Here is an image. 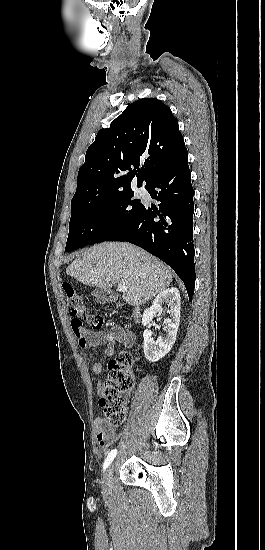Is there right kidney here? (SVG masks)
<instances>
[{
    "instance_id": "obj_1",
    "label": "right kidney",
    "mask_w": 265,
    "mask_h": 550,
    "mask_svg": "<svg viewBox=\"0 0 265 550\" xmlns=\"http://www.w3.org/2000/svg\"><path fill=\"white\" fill-rule=\"evenodd\" d=\"M167 304L169 318L164 319L166 335L159 336L156 342L152 338V332L146 329L143 333L144 355L149 362H157L162 359L173 347L180 322V293L175 287L163 290L153 300L151 306L142 316V324L147 326L156 313L162 310V304Z\"/></svg>"
}]
</instances>
